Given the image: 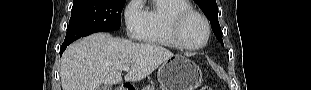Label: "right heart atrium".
I'll use <instances>...</instances> for the list:
<instances>
[{
	"label": "right heart atrium",
	"instance_id": "right-heart-atrium-1",
	"mask_svg": "<svg viewBox=\"0 0 311 90\" xmlns=\"http://www.w3.org/2000/svg\"><path fill=\"white\" fill-rule=\"evenodd\" d=\"M124 22L127 36L130 39L137 40L142 37L145 14L141 0H131L128 2L124 9Z\"/></svg>",
	"mask_w": 311,
	"mask_h": 90
}]
</instances>
